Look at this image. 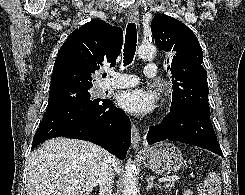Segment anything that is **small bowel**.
<instances>
[{
  "label": "small bowel",
  "mask_w": 245,
  "mask_h": 195,
  "mask_svg": "<svg viewBox=\"0 0 245 195\" xmlns=\"http://www.w3.org/2000/svg\"><path fill=\"white\" fill-rule=\"evenodd\" d=\"M183 195H191V191L187 190L183 193Z\"/></svg>",
  "instance_id": "c3829d8e"
}]
</instances>
